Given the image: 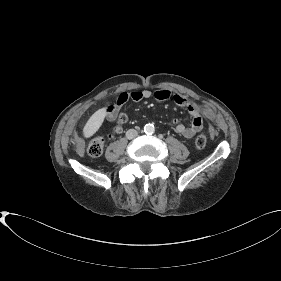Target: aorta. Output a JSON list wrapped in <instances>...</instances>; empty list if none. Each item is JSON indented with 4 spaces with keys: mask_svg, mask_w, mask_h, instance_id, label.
Masks as SVG:
<instances>
[{
    "mask_svg": "<svg viewBox=\"0 0 281 281\" xmlns=\"http://www.w3.org/2000/svg\"><path fill=\"white\" fill-rule=\"evenodd\" d=\"M154 131H155V127L153 124L148 123L144 126V132L146 134H153Z\"/></svg>",
    "mask_w": 281,
    "mask_h": 281,
    "instance_id": "aorta-1",
    "label": "aorta"
}]
</instances>
